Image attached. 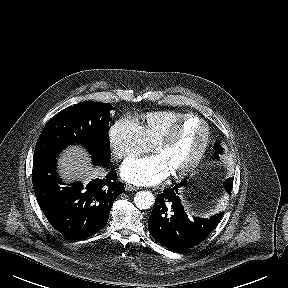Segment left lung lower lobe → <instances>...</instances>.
Masks as SVG:
<instances>
[{
	"instance_id": "0a47b994",
	"label": "left lung lower lobe",
	"mask_w": 288,
	"mask_h": 288,
	"mask_svg": "<svg viewBox=\"0 0 288 288\" xmlns=\"http://www.w3.org/2000/svg\"><path fill=\"white\" fill-rule=\"evenodd\" d=\"M185 181L158 194L148 221V229L153 238L174 251L192 248L204 241L224 214L222 212L209 219L193 217L194 221H191L178 196V188ZM226 191L231 192L230 189Z\"/></svg>"
}]
</instances>
